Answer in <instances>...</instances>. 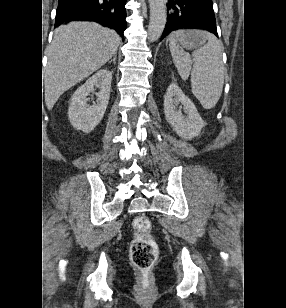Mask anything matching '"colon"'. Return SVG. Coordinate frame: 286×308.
Masks as SVG:
<instances>
[{
    "label": "colon",
    "instance_id": "colon-1",
    "mask_svg": "<svg viewBox=\"0 0 286 308\" xmlns=\"http://www.w3.org/2000/svg\"><path fill=\"white\" fill-rule=\"evenodd\" d=\"M135 237L130 247V257L134 266L143 274H147L157 261L159 248L151 236L152 223L146 216H137L133 221ZM147 282V277L142 278Z\"/></svg>",
    "mask_w": 286,
    "mask_h": 308
}]
</instances>
